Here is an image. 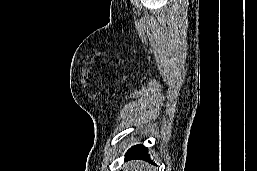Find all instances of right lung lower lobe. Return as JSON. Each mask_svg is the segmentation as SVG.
I'll use <instances>...</instances> for the list:
<instances>
[{"instance_id":"obj_1","label":"right lung lower lobe","mask_w":257,"mask_h":171,"mask_svg":"<svg viewBox=\"0 0 257 171\" xmlns=\"http://www.w3.org/2000/svg\"><path fill=\"white\" fill-rule=\"evenodd\" d=\"M126 159H146L150 160L147 148L142 144L133 146L126 153Z\"/></svg>"}]
</instances>
